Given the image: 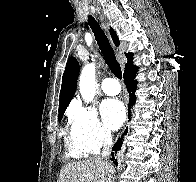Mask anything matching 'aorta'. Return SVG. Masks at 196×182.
Here are the masks:
<instances>
[{
	"label": "aorta",
	"instance_id": "aorta-1",
	"mask_svg": "<svg viewBox=\"0 0 196 182\" xmlns=\"http://www.w3.org/2000/svg\"><path fill=\"white\" fill-rule=\"evenodd\" d=\"M79 88L82 99L87 104L92 102L96 92V71L95 64H86L80 74Z\"/></svg>",
	"mask_w": 196,
	"mask_h": 182
}]
</instances>
